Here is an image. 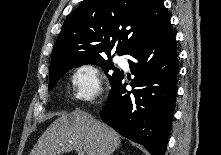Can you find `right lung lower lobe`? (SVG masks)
I'll return each instance as SVG.
<instances>
[{"label":"right lung lower lobe","mask_w":221,"mask_h":155,"mask_svg":"<svg viewBox=\"0 0 221 155\" xmlns=\"http://www.w3.org/2000/svg\"><path fill=\"white\" fill-rule=\"evenodd\" d=\"M135 75L126 90L121 73L111 84L101 119L124 137L145 146L151 155H164L177 93L176 38L170 23L144 36L129 53Z\"/></svg>","instance_id":"1"}]
</instances>
